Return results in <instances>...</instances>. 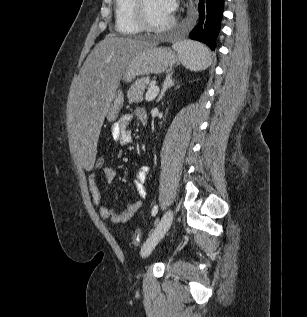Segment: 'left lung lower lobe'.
<instances>
[{
	"label": "left lung lower lobe",
	"mask_w": 307,
	"mask_h": 317,
	"mask_svg": "<svg viewBox=\"0 0 307 317\" xmlns=\"http://www.w3.org/2000/svg\"><path fill=\"white\" fill-rule=\"evenodd\" d=\"M223 2L224 0H199L198 22L189 34L191 39L205 43L211 50H215L220 31Z\"/></svg>",
	"instance_id": "1"
}]
</instances>
